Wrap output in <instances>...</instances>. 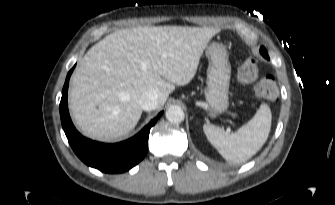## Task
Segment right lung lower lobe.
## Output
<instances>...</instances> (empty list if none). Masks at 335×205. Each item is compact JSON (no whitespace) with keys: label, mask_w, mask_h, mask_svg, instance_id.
<instances>
[{"label":"right lung lower lobe","mask_w":335,"mask_h":205,"mask_svg":"<svg viewBox=\"0 0 335 205\" xmlns=\"http://www.w3.org/2000/svg\"><path fill=\"white\" fill-rule=\"evenodd\" d=\"M75 66L68 72L60 102V117L66 137L75 154L88 166L105 173H121L138 164L148 151L150 129L162 116L160 112L137 135L116 144H104L83 137L74 127L67 105V91L70 76Z\"/></svg>","instance_id":"1"}]
</instances>
